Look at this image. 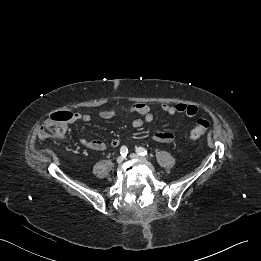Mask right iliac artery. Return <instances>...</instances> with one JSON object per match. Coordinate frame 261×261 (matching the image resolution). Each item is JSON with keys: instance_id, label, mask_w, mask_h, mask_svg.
Instances as JSON below:
<instances>
[{"instance_id": "obj_1", "label": "right iliac artery", "mask_w": 261, "mask_h": 261, "mask_svg": "<svg viewBox=\"0 0 261 261\" xmlns=\"http://www.w3.org/2000/svg\"><path fill=\"white\" fill-rule=\"evenodd\" d=\"M120 154L122 155V157H126V156H127V154H128V149H127L126 146H122V147L120 148Z\"/></svg>"}]
</instances>
